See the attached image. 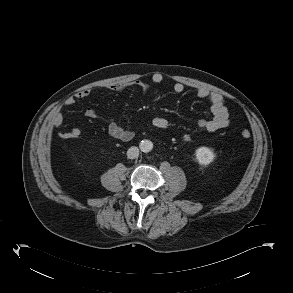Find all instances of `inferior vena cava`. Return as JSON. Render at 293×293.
I'll return each mask as SVG.
<instances>
[{"label":"inferior vena cava","mask_w":293,"mask_h":293,"mask_svg":"<svg viewBox=\"0 0 293 293\" xmlns=\"http://www.w3.org/2000/svg\"><path fill=\"white\" fill-rule=\"evenodd\" d=\"M139 156V149L135 146H132L127 151V157L129 159H135Z\"/></svg>","instance_id":"602c4592"}]
</instances>
